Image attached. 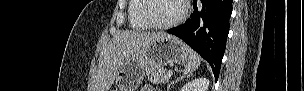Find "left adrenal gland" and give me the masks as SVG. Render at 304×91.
Returning a JSON list of instances; mask_svg holds the SVG:
<instances>
[{"label":"left adrenal gland","instance_id":"left-adrenal-gland-1","mask_svg":"<svg viewBox=\"0 0 304 91\" xmlns=\"http://www.w3.org/2000/svg\"><path fill=\"white\" fill-rule=\"evenodd\" d=\"M182 78H184V76L179 77V78H177L176 80L170 82V84H168V86H167V90L169 91V90H170V86H171L172 84H175V83L179 82L180 80H182Z\"/></svg>","mask_w":304,"mask_h":91}]
</instances>
